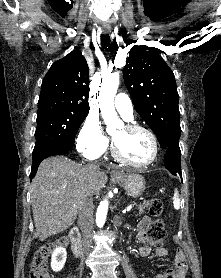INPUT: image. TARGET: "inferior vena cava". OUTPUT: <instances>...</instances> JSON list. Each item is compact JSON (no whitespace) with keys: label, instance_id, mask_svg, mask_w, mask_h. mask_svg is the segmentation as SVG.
Listing matches in <instances>:
<instances>
[{"label":"inferior vena cava","instance_id":"602c4592","mask_svg":"<svg viewBox=\"0 0 221 278\" xmlns=\"http://www.w3.org/2000/svg\"><path fill=\"white\" fill-rule=\"evenodd\" d=\"M90 169L98 170L99 167L95 164H89ZM93 193L89 189L85 194V198L82 201L79 208V225L83 234V250L85 253L90 251L92 245V232H93Z\"/></svg>","mask_w":221,"mask_h":278}]
</instances>
